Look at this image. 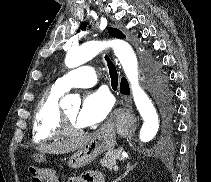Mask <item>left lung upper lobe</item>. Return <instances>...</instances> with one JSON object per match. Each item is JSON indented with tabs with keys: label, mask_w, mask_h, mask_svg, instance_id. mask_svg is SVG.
Returning a JSON list of instances; mask_svg holds the SVG:
<instances>
[{
	"label": "left lung upper lobe",
	"mask_w": 211,
	"mask_h": 182,
	"mask_svg": "<svg viewBox=\"0 0 211 182\" xmlns=\"http://www.w3.org/2000/svg\"><path fill=\"white\" fill-rule=\"evenodd\" d=\"M109 34L114 36V37H119V38L125 37L124 34L121 31H119L115 28H109Z\"/></svg>",
	"instance_id": "obj_1"
}]
</instances>
